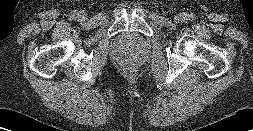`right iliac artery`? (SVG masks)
Listing matches in <instances>:
<instances>
[{
    "label": "right iliac artery",
    "mask_w": 253,
    "mask_h": 131,
    "mask_svg": "<svg viewBox=\"0 0 253 131\" xmlns=\"http://www.w3.org/2000/svg\"><path fill=\"white\" fill-rule=\"evenodd\" d=\"M70 17L73 18V19L76 18V17H77L76 11H73V12L71 13Z\"/></svg>",
    "instance_id": "82829eb1"
}]
</instances>
